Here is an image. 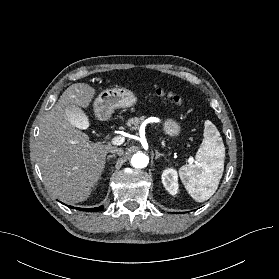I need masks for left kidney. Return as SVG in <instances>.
<instances>
[{
	"label": "left kidney",
	"mask_w": 279,
	"mask_h": 279,
	"mask_svg": "<svg viewBox=\"0 0 279 279\" xmlns=\"http://www.w3.org/2000/svg\"><path fill=\"white\" fill-rule=\"evenodd\" d=\"M161 178L165 189L171 195H176L179 191L177 171L173 168L166 169L163 171Z\"/></svg>",
	"instance_id": "1"
}]
</instances>
